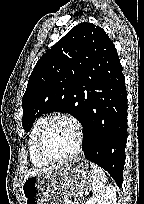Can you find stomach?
I'll return each mask as SVG.
<instances>
[{
	"label": "stomach",
	"instance_id": "0dacf381",
	"mask_svg": "<svg viewBox=\"0 0 144 204\" xmlns=\"http://www.w3.org/2000/svg\"><path fill=\"white\" fill-rule=\"evenodd\" d=\"M94 164L76 159L28 177L22 184L24 204H67L91 186Z\"/></svg>",
	"mask_w": 144,
	"mask_h": 204
}]
</instances>
